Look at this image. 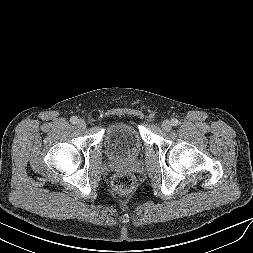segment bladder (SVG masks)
Segmentation results:
<instances>
[{"mask_svg": "<svg viewBox=\"0 0 253 253\" xmlns=\"http://www.w3.org/2000/svg\"><path fill=\"white\" fill-rule=\"evenodd\" d=\"M104 148L116 160H131L142 149V134L139 127L128 121L110 123L104 134Z\"/></svg>", "mask_w": 253, "mask_h": 253, "instance_id": "bladder-1", "label": "bladder"}]
</instances>
